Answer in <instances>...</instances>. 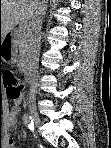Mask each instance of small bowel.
Masks as SVG:
<instances>
[{
  "label": "small bowel",
  "instance_id": "c3829d8e",
  "mask_svg": "<svg viewBox=\"0 0 111 148\" xmlns=\"http://www.w3.org/2000/svg\"><path fill=\"white\" fill-rule=\"evenodd\" d=\"M19 114H20L19 106L18 105L12 106L8 113V125L10 127L15 126L17 124ZM7 147L8 148L15 147L12 139L8 140Z\"/></svg>",
  "mask_w": 111,
  "mask_h": 148
}]
</instances>
